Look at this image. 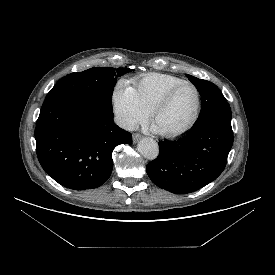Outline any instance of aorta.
<instances>
[{
  "instance_id": "1",
  "label": "aorta",
  "mask_w": 275,
  "mask_h": 275,
  "mask_svg": "<svg viewBox=\"0 0 275 275\" xmlns=\"http://www.w3.org/2000/svg\"><path fill=\"white\" fill-rule=\"evenodd\" d=\"M138 151L144 158L154 160L159 154V146L155 140L151 138H143L138 143Z\"/></svg>"
}]
</instances>
